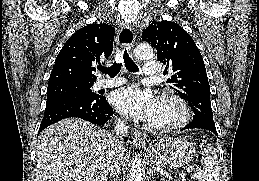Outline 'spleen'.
Masks as SVG:
<instances>
[{
  "mask_svg": "<svg viewBox=\"0 0 259 181\" xmlns=\"http://www.w3.org/2000/svg\"><path fill=\"white\" fill-rule=\"evenodd\" d=\"M203 169H199L193 174L196 181H219V162L215 148L208 144L205 154L201 159Z\"/></svg>",
  "mask_w": 259,
  "mask_h": 181,
  "instance_id": "3e777b00",
  "label": "spleen"
}]
</instances>
